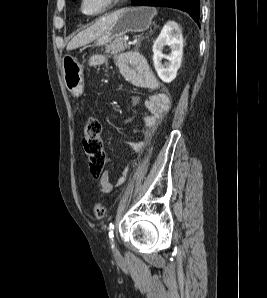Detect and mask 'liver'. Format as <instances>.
Returning <instances> with one entry per match:
<instances>
[{"label":"liver","instance_id":"obj_1","mask_svg":"<svg viewBox=\"0 0 267 298\" xmlns=\"http://www.w3.org/2000/svg\"><path fill=\"white\" fill-rule=\"evenodd\" d=\"M118 12L111 13L96 20L93 25L78 33L67 45V50L84 46L105 33L116 20Z\"/></svg>","mask_w":267,"mask_h":298}]
</instances>
